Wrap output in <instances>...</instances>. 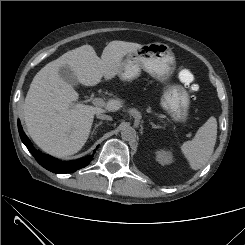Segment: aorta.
Instances as JSON below:
<instances>
[{
  "instance_id": "762f6f07",
  "label": "aorta",
  "mask_w": 245,
  "mask_h": 245,
  "mask_svg": "<svg viewBox=\"0 0 245 245\" xmlns=\"http://www.w3.org/2000/svg\"><path fill=\"white\" fill-rule=\"evenodd\" d=\"M123 140L131 141L136 138V130L132 126H124L121 130Z\"/></svg>"
}]
</instances>
